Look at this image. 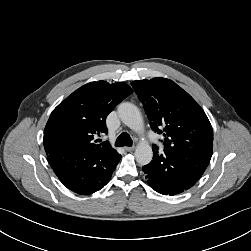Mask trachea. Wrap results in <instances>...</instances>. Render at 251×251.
Listing matches in <instances>:
<instances>
[{
    "instance_id": "3493384b",
    "label": "trachea",
    "mask_w": 251,
    "mask_h": 251,
    "mask_svg": "<svg viewBox=\"0 0 251 251\" xmlns=\"http://www.w3.org/2000/svg\"><path fill=\"white\" fill-rule=\"evenodd\" d=\"M115 146L123 147V146H132V139L128 133H121L116 139Z\"/></svg>"
}]
</instances>
